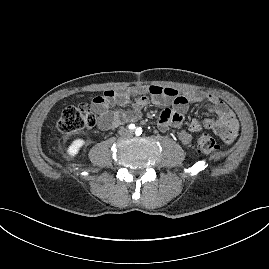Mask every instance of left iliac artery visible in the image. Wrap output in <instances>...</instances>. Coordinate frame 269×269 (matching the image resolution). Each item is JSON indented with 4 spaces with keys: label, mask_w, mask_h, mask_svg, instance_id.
I'll return each instance as SVG.
<instances>
[{
    "label": "left iliac artery",
    "mask_w": 269,
    "mask_h": 269,
    "mask_svg": "<svg viewBox=\"0 0 269 269\" xmlns=\"http://www.w3.org/2000/svg\"><path fill=\"white\" fill-rule=\"evenodd\" d=\"M142 133L141 127L137 128L135 134L139 136Z\"/></svg>",
    "instance_id": "left-iliac-artery-1"
}]
</instances>
